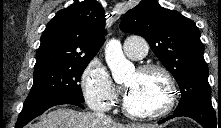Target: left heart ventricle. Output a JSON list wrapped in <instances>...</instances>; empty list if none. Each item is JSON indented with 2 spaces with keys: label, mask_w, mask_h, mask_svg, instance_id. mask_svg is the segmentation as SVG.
<instances>
[{
  "label": "left heart ventricle",
  "mask_w": 221,
  "mask_h": 128,
  "mask_svg": "<svg viewBox=\"0 0 221 128\" xmlns=\"http://www.w3.org/2000/svg\"><path fill=\"white\" fill-rule=\"evenodd\" d=\"M125 99L133 111L156 109L166 98L164 79L156 72L145 74L132 73L126 78Z\"/></svg>",
  "instance_id": "1"
}]
</instances>
